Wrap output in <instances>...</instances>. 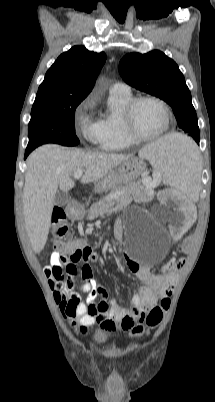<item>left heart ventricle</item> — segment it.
I'll return each mask as SVG.
<instances>
[{"label":"left heart ventricle","mask_w":215,"mask_h":402,"mask_svg":"<svg viewBox=\"0 0 215 402\" xmlns=\"http://www.w3.org/2000/svg\"><path fill=\"white\" fill-rule=\"evenodd\" d=\"M135 127L140 134L154 135L160 132L166 123L163 109L155 102H141L135 111Z\"/></svg>","instance_id":"b2bd125f"}]
</instances>
